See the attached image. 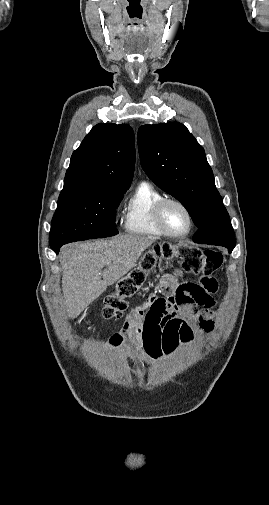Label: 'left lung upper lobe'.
<instances>
[{"instance_id": "obj_1", "label": "left lung upper lobe", "mask_w": 269, "mask_h": 505, "mask_svg": "<svg viewBox=\"0 0 269 505\" xmlns=\"http://www.w3.org/2000/svg\"><path fill=\"white\" fill-rule=\"evenodd\" d=\"M140 162L148 177L179 200L198 227L194 242L235 246V235L202 146L181 123L143 125Z\"/></svg>"}]
</instances>
